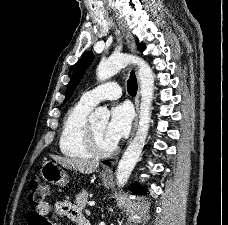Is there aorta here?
Returning <instances> with one entry per match:
<instances>
[{
	"instance_id": "obj_1",
	"label": "aorta",
	"mask_w": 228,
	"mask_h": 225,
	"mask_svg": "<svg viewBox=\"0 0 228 225\" xmlns=\"http://www.w3.org/2000/svg\"><path fill=\"white\" fill-rule=\"evenodd\" d=\"M137 62L139 66L138 78L140 82L141 102H140V117L136 135L127 147L116 171L117 187L126 185L145 145L147 139L150 119H151V104L154 92V76L151 66L143 58H134L131 54H111L107 60H101L96 68L98 80H107L114 74L119 72L120 68H124L126 64ZM110 113L108 108L98 106L95 108V113H91L88 117L89 123H96L98 119H109Z\"/></svg>"
}]
</instances>
